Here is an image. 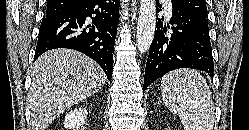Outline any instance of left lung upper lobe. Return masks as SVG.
Here are the masks:
<instances>
[{
	"mask_svg": "<svg viewBox=\"0 0 249 130\" xmlns=\"http://www.w3.org/2000/svg\"><path fill=\"white\" fill-rule=\"evenodd\" d=\"M184 9L204 18H207L205 0H172Z\"/></svg>",
	"mask_w": 249,
	"mask_h": 130,
	"instance_id": "1",
	"label": "left lung upper lobe"
}]
</instances>
